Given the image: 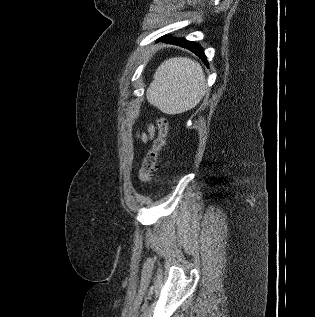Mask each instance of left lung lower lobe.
<instances>
[{
	"label": "left lung lower lobe",
	"mask_w": 315,
	"mask_h": 317,
	"mask_svg": "<svg viewBox=\"0 0 315 317\" xmlns=\"http://www.w3.org/2000/svg\"><path fill=\"white\" fill-rule=\"evenodd\" d=\"M161 40L167 43L176 44L186 49H189L190 51L195 53L199 58H201L205 62L206 65H208L206 56L204 54V50L199 44L192 41H188L185 38L164 37Z\"/></svg>",
	"instance_id": "left-lung-lower-lobe-1"
}]
</instances>
